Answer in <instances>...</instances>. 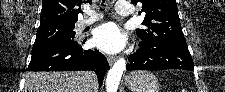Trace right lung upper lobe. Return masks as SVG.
<instances>
[{
  "label": "right lung upper lobe",
  "mask_w": 225,
  "mask_h": 92,
  "mask_svg": "<svg viewBox=\"0 0 225 92\" xmlns=\"http://www.w3.org/2000/svg\"><path fill=\"white\" fill-rule=\"evenodd\" d=\"M83 2L91 0H43L40 26L54 23L75 25Z\"/></svg>",
  "instance_id": "obj_1"
}]
</instances>
